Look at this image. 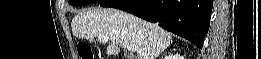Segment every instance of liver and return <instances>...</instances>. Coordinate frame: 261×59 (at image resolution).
<instances>
[{"label": "liver", "instance_id": "1", "mask_svg": "<svg viewBox=\"0 0 261 59\" xmlns=\"http://www.w3.org/2000/svg\"><path fill=\"white\" fill-rule=\"evenodd\" d=\"M77 38L107 36V55H118L120 45L137 47L135 59H156L173 40L159 26L113 8H93L77 14L71 23Z\"/></svg>", "mask_w": 261, "mask_h": 59}]
</instances>
